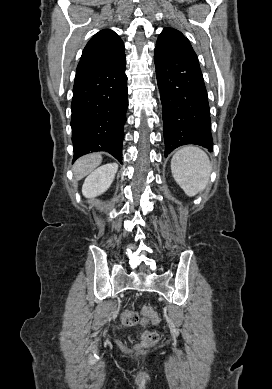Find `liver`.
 Wrapping results in <instances>:
<instances>
[{
  "instance_id": "obj_1",
  "label": "liver",
  "mask_w": 272,
  "mask_h": 389,
  "mask_svg": "<svg viewBox=\"0 0 272 389\" xmlns=\"http://www.w3.org/2000/svg\"><path fill=\"white\" fill-rule=\"evenodd\" d=\"M102 162L101 154H89L78 159L74 166V177L77 181L91 173Z\"/></svg>"
}]
</instances>
